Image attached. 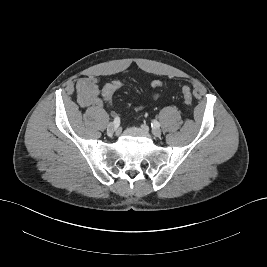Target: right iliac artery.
<instances>
[{
    "label": "right iliac artery",
    "instance_id": "right-iliac-artery-1",
    "mask_svg": "<svg viewBox=\"0 0 267 267\" xmlns=\"http://www.w3.org/2000/svg\"><path fill=\"white\" fill-rule=\"evenodd\" d=\"M113 123H114L116 126H118V125L120 124V118H119L118 116H116V117L114 118Z\"/></svg>",
    "mask_w": 267,
    "mask_h": 267
}]
</instances>
